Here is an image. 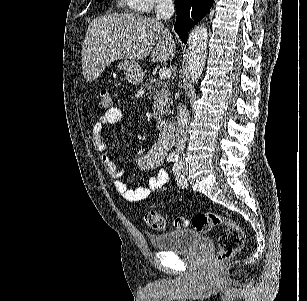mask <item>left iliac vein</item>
Listing matches in <instances>:
<instances>
[{"label": "left iliac vein", "instance_id": "left-iliac-vein-1", "mask_svg": "<svg viewBox=\"0 0 307 301\" xmlns=\"http://www.w3.org/2000/svg\"><path fill=\"white\" fill-rule=\"evenodd\" d=\"M182 172H183L184 175L188 174V166H187L186 163H183Z\"/></svg>", "mask_w": 307, "mask_h": 301}]
</instances>
